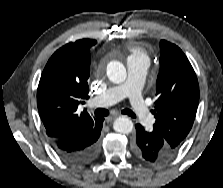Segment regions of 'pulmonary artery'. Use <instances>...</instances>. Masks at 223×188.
I'll list each match as a JSON object with an SVG mask.
<instances>
[{
    "mask_svg": "<svg viewBox=\"0 0 223 188\" xmlns=\"http://www.w3.org/2000/svg\"><path fill=\"white\" fill-rule=\"evenodd\" d=\"M128 74L124 82L108 88L98 97L91 101L92 106L107 107L113 105L124 98H128L132 112L138 120L149 126L153 122L142 95V84L148 68V59L141 54L131 55L127 60Z\"/></svg>",
    "mask_w": 223,
    "mask_h": 188,
    "instance_id": "1",
    "label": "pulmonary artery"
}]
</instances>
